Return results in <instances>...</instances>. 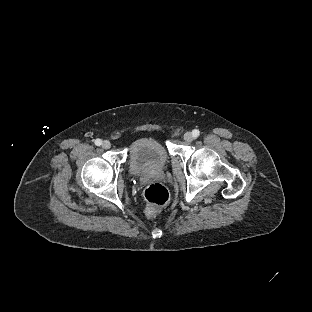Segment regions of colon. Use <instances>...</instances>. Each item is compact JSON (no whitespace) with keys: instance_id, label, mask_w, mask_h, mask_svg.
<instances>
[{"instance_id":"1","label":"colon","mask_w":312,"mask_h":312,"mask_svg":"<svg viewBox=\"0 0 312 312\" xmlns=\"http://www.w3.org/2000/svg\"><path fill=\"white\" fill-rule=\"evenodd\" d=\"M144 197L148 202L147 212L155 214L167 203L169 194L163 185L152 183L145 188Z\"/></svg>"}]
</instances>
